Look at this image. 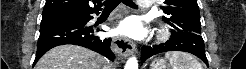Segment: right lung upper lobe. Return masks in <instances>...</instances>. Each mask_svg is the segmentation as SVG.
I'll return each instance as SVG.
<instances>
[{
  "label": "right lung upper lobe",
  "instance_id": "obj_1",
  "mask_svg": "<svg viewBox=\"0 0 246 69\" xmlns=\"http://www.w3.org/2000/svg\"><path fill=\"white\" fill-rule=\"evenodd\" d=\"M101 6V0H46L43 16L66 12L89 13L101 10Z\"/></svg>",
  "mask_w": 246,
  "mask_h": 69
}]
</instances>
